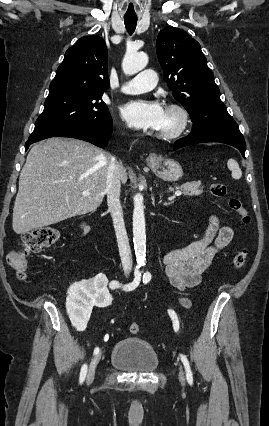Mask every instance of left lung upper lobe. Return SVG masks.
<instances>
[{
    "mask_svg": "<svg viewBox=\"0 0 269 426\" xmlns=\"http://www.w3.org/2000/svg\"><path fill=\"white\" fill-rule=\"evenodd\" d=\"M156 50L168 87L192 121L203 118L207 111L226 109L196 40L181 29L166 27L158 34Z\"/></svg>",
    "mask_w": 269,
    "mask_h": 426,
    "instance_id": "obj_1",
    "label": "left lung upper lobe"
}]
</instances>
